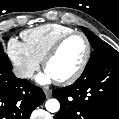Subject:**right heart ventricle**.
I'll use <instances>...</instances> for the list:
<instances>
[{
	"instance_id": "e07e8e85",
	"label": "right heart ventricle",
	"mask_w": 119,
	"mask_h": 119,
	"mask_svg": "<svg viewBox=\"0 0 119 119\" xmlns=\"http://www.w3.org/2000/svg\"><path fill=\"white\" fill-rule=\"evenodd\" d=\"M74 29L61 24H45L22 32V38L30 52L43 61L50 48L64 35Z\"/></svg>"
}]
</instances>
